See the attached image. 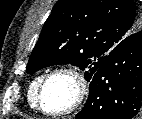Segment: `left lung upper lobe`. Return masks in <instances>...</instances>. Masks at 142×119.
<instances>
[{"label": "left lung upper lobe", "instance_id": "1", "mask_svg": "<svg viewBox=\"0 0 142 119\" xmlns=\"http://www.w3.org/2000/svg\"><path fill=\"white\" fill-rule=\"evenodd\" d=\"M142 25L134 0H58L31 53L27 73L58 64L90 81L108 53Z\"/></svg>", "mask_w": 142, "mask_h": 119}]
</instances>
